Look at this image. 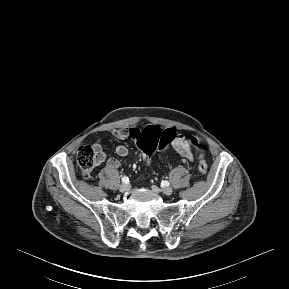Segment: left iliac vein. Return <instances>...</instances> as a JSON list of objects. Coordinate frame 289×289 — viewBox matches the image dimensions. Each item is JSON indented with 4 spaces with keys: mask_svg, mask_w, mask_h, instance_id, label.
Returning <instances> with one entry per match:
<instances>
[{
    "mask_svg": "<svg viewBox=\"0 0 289 289\" xmlns=\"http://www.w3.org/2000/svg\"><path fill=\"white\" fill-rule=\"evenodd\" d=\"M152 190H153L154 192H157V191H158V188H157L156 186H152ZM162 192H163L164 194H166V195H171L172 192H173V189H172L171 187H164V188L162 189Z\"/></svg>",
    "mask_w": 289,
    "mask_h": 289,
    "instance_id": "left-iliac-vein-1",
    "label": "left iliac vein"
}]
</instances>
